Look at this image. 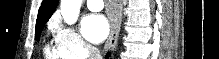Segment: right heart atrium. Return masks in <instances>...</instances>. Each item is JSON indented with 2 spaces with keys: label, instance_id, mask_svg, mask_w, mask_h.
Returning <instances> with one entry per match:
<instances>
[{
  "label": "right heart atrium",
  "instance_id": "obj_1",
  "mask_svg": "<svg viewBox=\"0 0 219 59\" xmlns=\"http://www.w3.org/2000/svg\"><path fill=\"white\" fill-rule=\"evenodd\" d=\"M53 36L69 59H85L93 53V47L72 27L56 24L53 27Z\"/></svg>",
  "mask_w": 219,
  "mask_h": 59
}]
</instances>
